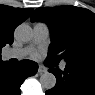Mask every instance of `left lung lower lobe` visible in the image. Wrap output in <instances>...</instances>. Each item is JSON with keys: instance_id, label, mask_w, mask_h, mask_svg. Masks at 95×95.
Listing matches in <instances>:
<instances>
[{"instance_id": "obj_1", "label": "left lung lower lobe", "mask_w": 95, "mask_h": 95, "mask_svg": "<svg viewBox=\"0 0 95 95\" xmlns=\"http://www.w3.org/2000/svg\"><path fill=\"white\" fill-rule=\"evenodd\" d=\"M57 82L47 95H95V68L66 64L64 71L50 68Z\"/></svg>"}]
</instances>
